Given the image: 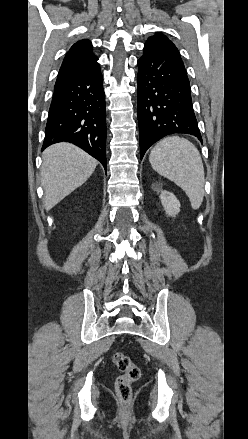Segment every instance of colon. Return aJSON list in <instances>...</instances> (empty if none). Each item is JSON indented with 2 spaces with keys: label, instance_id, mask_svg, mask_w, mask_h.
Listing matches in <instances>:
<instances>
[{
  "label": "colon",
  "instance_id": "5ec220e1",
  "mask_svg": "<svg viewBox=\"0 0 248 439\" xmlns=\"http://www.w3.org/2000/svg\"><path fill=\"white\" fill-rule=\"evenodd\" d=\"M112 361L121 371V375L118 376L115 382L116 395L121 402L127 403L132 397L131 385L140 378L141 370L127 355L121 352H116L112 357Z\"/></svg>",
  "mask_w": 248,
  "mask_h": 439
}]
</instances>
